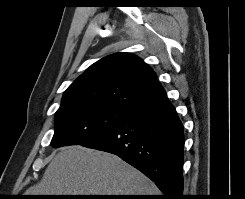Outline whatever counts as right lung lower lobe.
I'll use <instances>...</instances> for the list:
<instances>
[{"label": "right lung lower lobe", "instance_id": "1", "mask_svg": "<svg viewBox=\"0 0 245 199\" xmlns=\"http://www.w3.org/2000/svg\"><path fill=\"white\" fill-rule=\"evenodd\" d=\"M184 142L183 125L166 98L129 113L81 145L119 156L150 178L162 199H182Z\"/></svg>", "mask_w": 245, "mask_h": 199}]
</instances>
